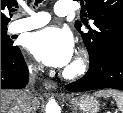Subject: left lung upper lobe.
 Returning <instances> with one entry per match:
<instances>
[{"label": "left lung upper lobe", "mask_w": 123, "mask_h": 113, "mask_svg": "<svg viewBox=\"0 0 123 113\" xmlns=\"http://www.w3.org/2000/svg\"><path fill=\"white\" fill-rule=\"evenodd\" d=\"M85 17L94 21V28L84 33L80 30L82 23L77 21L76 29L81 33L89 53H96L123 42V0H82Z\"/></svg>", "instance_id": "5c2ea615"}]
</instances>
